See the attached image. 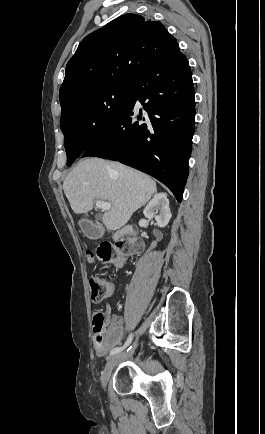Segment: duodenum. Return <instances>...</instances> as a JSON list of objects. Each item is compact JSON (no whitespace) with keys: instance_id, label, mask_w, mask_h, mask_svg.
Segmentation results:
<instances>
[{"instance_id":"410a0bca","label":"duodenum","mask_w":265,"mask_h":434,"mask_svg":"<svg viewBox=\"0 0 265 434\" xmlns=\"http://www.w3.org/2000/svg\"><path fill=\"white\" fill-rule=\"evenodd\" d=\"M132 229H134V228H132V227H126V228H124V229H122V230H120V231H117L116 233H114V235H113V237H112V240H117L119 237H125V238H128L127 237V232H128V230H132Z\"/></svg>"}]
</instances>
